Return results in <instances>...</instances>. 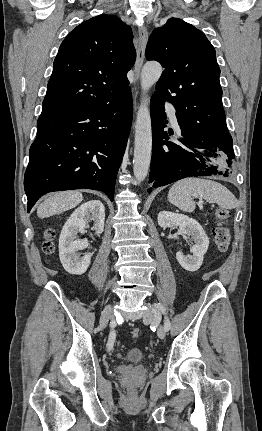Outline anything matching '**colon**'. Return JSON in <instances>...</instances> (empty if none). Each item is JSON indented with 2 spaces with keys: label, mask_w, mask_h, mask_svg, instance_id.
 <instances>
[{
  "label": "colon",
  "mask_w": 262,
  "mask_h": 431,
  "mask_svg": "<svg viewBox=\"0 0 262 431\" xmlns=\"http://www.w3.org/2000/svg\"><path fill=\"white\" fill-rule=\"evenodd\" d=\"M216 222L213 227V237L216 248L220 252H225L228 250L231 240V233L228 228V224L230 221V212L224 208L216 209ZM53 231L49 230L47 232V236L43 242V250L47 254H51L54 250V243L52 241ZM131 335L134 338H137L140 335V329L134 328L131 331Z\"/></svg>",
  "instance_id": "1"
}]
</instances>
